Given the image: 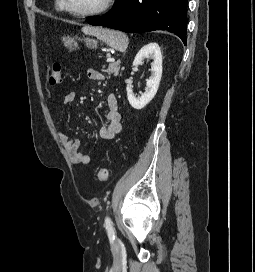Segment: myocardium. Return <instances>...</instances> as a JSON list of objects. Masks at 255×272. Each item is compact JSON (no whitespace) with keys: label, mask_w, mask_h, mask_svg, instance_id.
<instances>
[{"label":"myocardium","mask_w":255,"mask_h":272,"mask_svg":"<svg viewBox=\"0 0 255 272\" xmlns=\"http://www.w3.org/2000/svg\"><path fill=\"white\" fill-rule=\"evenodd\" d=\"M113 1L114 0H104L103 4L95 10L88 11V12H77L71 9V7L68 4V0H61L63 9L70 15L78 17V18H87V17L101 15L105 13L111 7Z\"/></svg>","instance_id":"f54148a6"}]
</instances>
